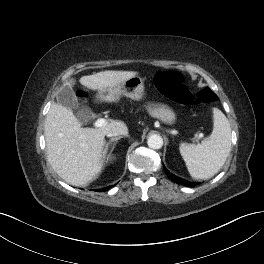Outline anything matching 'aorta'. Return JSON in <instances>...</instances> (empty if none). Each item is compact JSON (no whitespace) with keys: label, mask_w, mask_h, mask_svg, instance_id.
Returning <instances> with one entry per match:
<instances>
[{"label":"aorta","mask_w":264,"mask_h":264,"mask_svg":"<svg viewBox=\"0 0 264 264\" xmlns=\"http://www.w3.org/2000/svg\"><path fill=\"white\" fill-rule=\"evenodd\" d=\"M147 144L152 149H160L163 146V139L160 135L152 134L149 136Z\"/></svg>","instance_id":"1"}]
</instances>
